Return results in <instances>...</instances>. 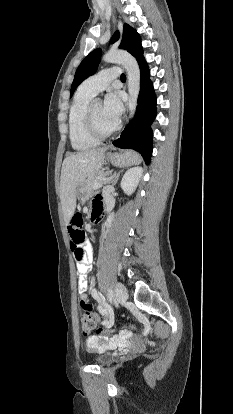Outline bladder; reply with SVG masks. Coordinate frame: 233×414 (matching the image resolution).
I'll list each match as a JSON object with an SVG mask.
<instances>
[{
  "label": "bladder",
  "instance_id": "31cf9c89",
  "mask_svg": "<svg viewBox=\"0 0 233 414\" xmlns=\"http://www.w3.org/2000/svg\"><path fill=\"white\" fill-rule=\"evenodd\" d=\"M113 359V356L110 352H104L99 354L96 358H95V363L103 366V365H107L109 364Z\"/></svg>",
  "mask_w": 233,
  "mask_h": 414
}]
</instances>
